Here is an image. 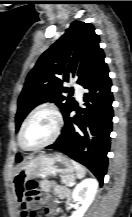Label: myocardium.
I'll list each match as a JSON object with an SVG mask.
<instances>
[{"label":"myocardium","mask_w":132,"mask_h":217,"mask_svg":"<svg viewBox=\"0 0 132 217\" xmlns=\"http://www.w3.org/2000/svg\"><path fill=\"white\" fill-rule=\"evenodd\" d=\"M41 110H48L50 111L56 119V127H55V131L52 135V137L47 140L46 142L36 146V147H27L25 146V144L23 143V134H24V130L26 128V125L28 124V122L31 120V118L39 111ZM63 128V116L62 113L60 112L59 108L53 104V103H42L38 106H36L30 113L29 115L26 117V119L24 120L20 132H19V136H18V140H19V144L22 147V149L26 150V151H38L40 149H43L51 144H53L60 136L61 131Z\"/></svg>","instance_id":"f54148a6"}]
</instances>
